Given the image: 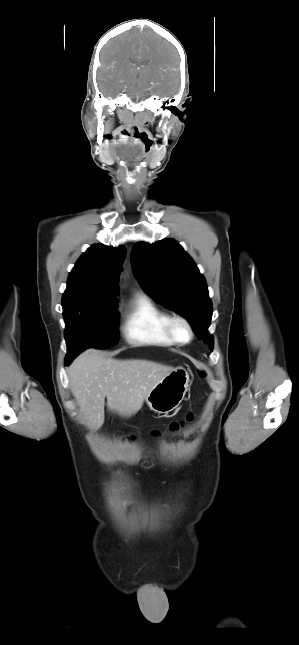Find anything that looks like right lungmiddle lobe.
Here are the masks:
<instances>
[{"instance_id":"dd1d6c3e","label":"right lung middle lobe","mask_w":299,"mask_h":645,"mask_svg":"<svg viewBox=\"0 0 299 645\" xmlns=\"http://www.w3.org/2000/svg\"><path fill=\"white\" fill-rule=\"evenodd\" d=\"M62 306L66 325V364L86 348L104 349L117 344V301L104 303L73 301Z\"/></svg>"}]
</instances>
